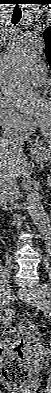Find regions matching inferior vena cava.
Listing matches in <instances>:
<instances>
[{"label":"inferior vena cava","mask_w":51,"mask_h":393,"mask_svg":"<svg viewBox=\"0 0 51 393\" xmlns=\"http://www.w3.org/2000/svg\"><path fill=\"white\" fill-rule=\"evenodd\" d=\"M3 143L12 148L16 153H23V140L20 138L17 130L13 128L5 129L2 135ZM0 197L3 200H8L11 204L20 198V192L15 177L1 175L0 177ZM17 228L22 224V217L19 214L13 215Z\"/></svg>","instance_id":"obj_1"}]
</instances>
